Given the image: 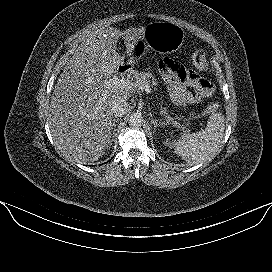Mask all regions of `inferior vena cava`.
Wrapping results in <instances>:
<instances>
[{
    "instance_id": "602c4592",
    "label": "inferior vena cava",
    "mask_w": 272,
    "mask_h": 272,
    "mask_svg": "<svg viewBox=\"0 0 272 272\" xmlns=\"http://www.w3.org/2000/svg\"><path fill=\"white\" fill-rule=\"evenodd\" d=\"M128 102L124 99H118L112 104V113L115 117H122L128 111Z\"/></svg>"
}]
</instances>
